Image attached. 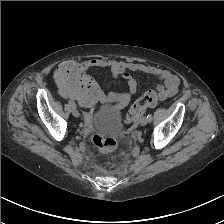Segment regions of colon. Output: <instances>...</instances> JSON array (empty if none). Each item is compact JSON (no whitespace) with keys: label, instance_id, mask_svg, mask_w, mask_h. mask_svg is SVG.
Returning a JSON list of instances; mask_svg holds the SVG:
<instances>
[{"label":"colon","instance_id":"5ec220e1","mask_svg":"<svg viewBox=\"0 0 224 224\" xmlns=\"http://www.w3.org/2000/svg\"><path fill=\"white\" fill-rule=\"evenodd\" d=\"M55 79L64 90L65 95L82 106L95 104L100 93L93 79L76 62H65L55 71ZM156 94L148 92L138 99L131 107L126 119L127 124H133L143 109L156 101ZM94 146L101 152L109 154L117 149V141L111 137L96 134L92 137Z\"/></svg>","mask_w":224,"mask_h":224}]
</instances>
